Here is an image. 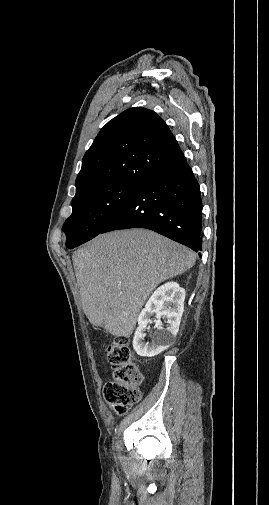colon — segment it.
<instances>
[{"mask_svg":"<svg viewBox=\"0 0 269 505\" xmlns=\"http://www.w3.org/2000/svg\"><path fill=\"white\" fill-rule=\"evenodd\" d=\"M106 358L112 368V380L104 386V399L109 407L122 415L141 399L142 374L132 359L126 337H118L107 346Z\"/></svg>","mask_w":269,"mask_h":505,"instance_id":"colon-1","label":"colon"}]
</instances>
